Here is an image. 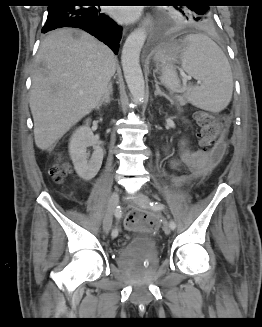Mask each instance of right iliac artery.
Segmentation results:
<instances>
[{
    "label": "right iliac artery",
    "mask_w": 262,
    "mask_h": 327,
    "mask_svg": "<svg viewBox=\"0 0 262 327\" xmlns=\"http://www.w3.org/2000/svg\"><path fill=\"white\" fill-rule=\"evenodd\" d=\"M115 217H116L117 219H120V218H121V211H120L119 209H116V210H115ZM117 235H118V230L115 228V229L112 231V236H113V237H117Z\"/></svg>",
    "instance_id": "obj_1"
}]
</instances>
